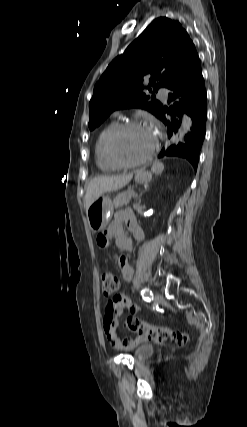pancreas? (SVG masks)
Returning <instances> with one entry per match:
<instances>
[{"label":"pancreas","instance_id":"cf45deb5","mask_svg":"<svg viewBox=\"0 0 247 427\" xmlns=\"http://www.w3.org/2000/svg\"><path fill=\"white\" fill-rule=\"evenodd\" d=\"M136 196V193L133 190H128L116 196L113 201L115 208H120L122 206L128 205L133 197Z\"/></svg>","mask_w":247,"mask_h":427}]
</instances>
